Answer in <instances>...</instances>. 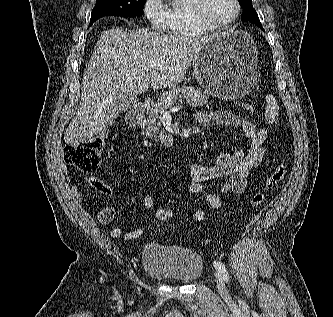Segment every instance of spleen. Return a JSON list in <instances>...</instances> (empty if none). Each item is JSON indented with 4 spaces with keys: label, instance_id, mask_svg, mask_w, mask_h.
Wrapping results in <instances>:
<instances>
[{
    "label": "spleen",
    "instance_id": "1",
    "mask_svg": "<svg viewBox=\"0 0 333 317\" xmlns=\"http://www.w3.org/2000/svg\"><path fill=\"white\" fill-rule=\"evenodd\" d=\"M267 108L265 110V118L267 122H273L275 121L276 117L278 116V103L275 97L271 94L266 95L265 97Z\"/></svg>",
    "mask_w": 333,
    "mask_h": 317
}]
</instances>
